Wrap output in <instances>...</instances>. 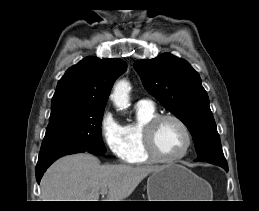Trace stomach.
<instances>
[{
    "instance_id": "stomach-1",
    "label": "stomach",
    "mask_w": 259,
    "mask_h": 211,
    "mask_svg": "<svg viewBox=\"0 0 259 211\" xmlns=\"http://www.w3.org/2000/svg\"><path fill=\"white\" fill-rule=\"evenodd\" d=\"M149 201H206L209 184L179 164H168L153 172L147 181Z\"/></svg>"
}]
</instances>
